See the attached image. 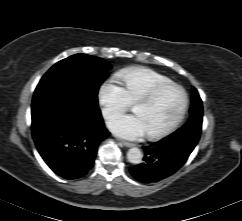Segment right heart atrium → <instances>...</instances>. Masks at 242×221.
Masks as SVG:
<instances>
[{
    "label": "right heart atrium",
    "instance_id": "obj_1",
    "mask_svg": "<svg viewBox=\"0 0 242 221\" xmlns=\"http://www.w3.org/2000/svg\"><path fill=\"white\" fill-rule=\"evenodd\" d=\"M97 96L105 119H110L124 112L131 105L123 87L114 80L102 82L98 88Z\"/></svg>",
    "mask_w": 242,
    "mask_h": 221
}]
</instances>
